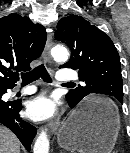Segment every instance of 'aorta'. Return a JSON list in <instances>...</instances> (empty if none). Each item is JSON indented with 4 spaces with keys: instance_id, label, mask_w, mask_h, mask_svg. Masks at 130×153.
I'll return each instance as SVG.
<instances>
[{
    "instance_id": "aorta-1",
    "label": "aorta",
    "mask_w": 130,
    "mask_h": 153,
    "mask_svg": "<svg viewBox=\"0 0 130 153\" xmlns=\"http://www.w3.org/2000/svg\"><path fill=\"white\" fill-rule=\"evenodd\" d=\"M52 57L55 61H67L69 57V52L65 47L56 46L51 51ZM34 153H48L49 152V140L46 131H41L36 139L34 148Z\"/></svg>"
}]
</instances>
